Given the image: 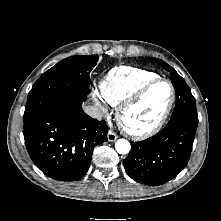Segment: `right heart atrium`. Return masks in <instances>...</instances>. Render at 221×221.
<instances>
[{
	"label": "right heart atrium",
	"instance_id": "d8ad5b80",
	"mask_svg": "<svg viewBox=\"0 0 221 221\" xmlns=\"http://www.w3.org/2000/svg\"><path fill=\"white\" fill-rule=\"evenodd\" d=\"M96 103H97V105H100V103H99L98 99H96Z\"/></svg>",
	"mask_w": 221,
	"mask_h": 221
}]
</instances>
